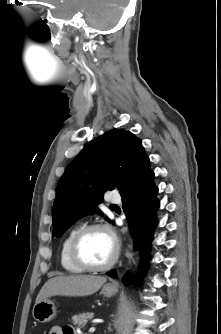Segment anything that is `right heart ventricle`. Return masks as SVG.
I'll list each match as a JSON object with an SVG mask.
<instances>
[{
    "label": "right heart ventricle",
    "instance_id": "right-heart-ventricle-1",
    "mask_svg": "<svg viewBox=\"0 0 221 334\" xmlns=\"http://www.w3.org/2000/svg\"><path fill=\"white\" fill-rule=\"evenodd\" d=\"M78 229V227H74L67 233L60 248V264L66 272L71 274L84 272V270L77 266L70 257V244Z\"/></svg>",
    "mask_w": 221,
    "mask_h": 334
}]
</instances>
